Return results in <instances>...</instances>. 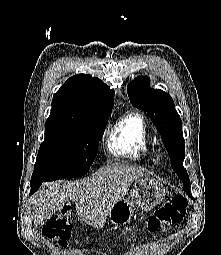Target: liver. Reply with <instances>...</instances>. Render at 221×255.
Returning <instances> with one entry per match:
<instances>
[{"instance_id": "obj_1", "label": "liver", "mask_w": 221, "mask_h": 255, "mask_svg": "<svg viewBox=\"0 0 221 255\" xmlns=\"http://www.w3.org/2000/svg\"><path fill=\"white\" fill-rule=\"evenodd\" d=\"M147 175L144 169L115 163L79 181L47 183L32 197L34 225L43 226L73 200L76 212L84 222L102 228L110 209L125 198L133 181Z\"/></svg>"}]
</instances>
